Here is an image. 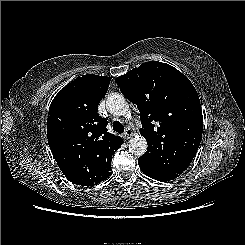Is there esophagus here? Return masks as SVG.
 <instances>
[{
    "label": "esophagus",
    "mask_w": 245,
    "mask_h": 245,
    "mask_svg": "<svg viewBox=\"0 0 245 245\" xmlns=\"http://www.w3.org/2000/svg\"><path fill=\"white\" fill-rule=\"evenodd\" d=\"M134 135L133 131L128 127L126 128L125 132L123 133V136L125 139H129Z\"/></svg>",
    "instance_id": "34e87169"
}]
</instances>
